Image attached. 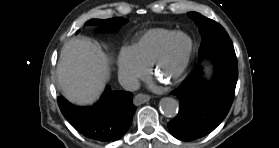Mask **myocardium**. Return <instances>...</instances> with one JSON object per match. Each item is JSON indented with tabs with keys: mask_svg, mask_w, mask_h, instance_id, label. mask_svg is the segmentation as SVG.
<instances>
[{
	"mask_svg": "<svg viewBox=\"0 0 279 148\" xmlns=\"http://www.w3.org/2000/svg\"><path fill=\"white\" fill-rule=\"evenodd\" d=\"M180 37H184L188 40V47L186 49L184 59H183L181 65L179 66L176 73L169 80L171 83H177L180 80H182L184 78V76L187 74V72L191 66L193 56H194V42H193L192 37L188 33L183 32V31L174 32L169 37V39L167 40V42L165 43L161 52L159 53V55L157 56V58L155 59V61L153 63V73H154V75L158 76V73H159L162 65L168 59V57L170 56V54L172 52L176 39L180 38Z\"/></svg>",
	"mask_w": 279,
	"mask_h": 148,
	"instance_id": "f54148a6",
	"label": "myocardium"
}]
</instances>
